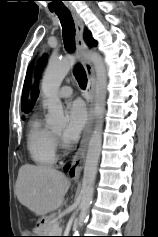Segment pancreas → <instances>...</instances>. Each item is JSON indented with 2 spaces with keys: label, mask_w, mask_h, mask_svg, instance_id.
Segmentation results:
<instances>
[{
  "label": "pancreas",
  "mask_w": 158,
  "mask_h": 237,
  "mask_svg": "<svg viewBox=\"0 0 158 237\" xmlns=\"http://www.w3.org/2000/svg\"><path fill=\"white\" fill-rule=\"evenodd\" d=\"M56 223H58L56 220L48 219L45 228L44 233L46 236H58L60 235L58 231V227L56 226Z\"/></svg>",
  "instance_id": "cf45deb5"
}]
</instances>
